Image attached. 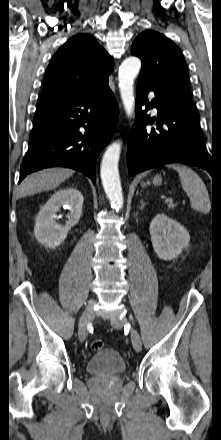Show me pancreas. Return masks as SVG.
<instances>
[{"mask_svg":"<svg viewBox=\"0 0 221 440\" xmlns=\"http://www.w3.org/2000/svg\"><path fill=\"white\" fill-rule=\"evenodd\" d=\"M167 205L169 209H173L176 206L172 201L167 202Z\"/></svg>","mask_w":221,"mask_h":440,"instance_id":"1","label":"pancreas"}]
</instances>
